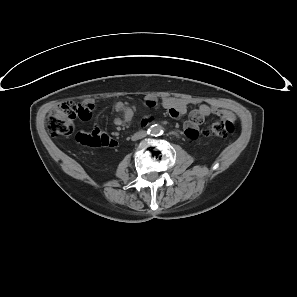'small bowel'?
<instances>
[{
  "label": "small bowel",
  "instance_id": "c3829d8e",
  "mask_svg": "<svg viewBox=\"0 0 297 297\" xmlns=\"http://www.w3.org/2000/svg\"><path fill=\"white\" fill-rule=\"evenodd\" d=\"M145 103L148 107H153L156 104V101L153 98H147ZM162 104L172 117L177 118L180 115L187 113L189 101L186 99L166 97L162 100ZM115 108L122 115L121 118L115 119L114 123L116 126L129 123L132 120L134 113L130 106L119 102L116 104ZM213 113L224 114L229 118L232 117L230 113H227L217 107L200 104L196 109L190 112V118L185 122L187 136L191 139H196L199 136L198 125L205 117H208Z\"/></svg>",
  "mask_w": 297,
  "mask_h": 297
}]
</instances>
